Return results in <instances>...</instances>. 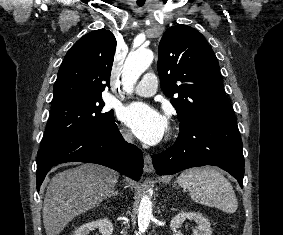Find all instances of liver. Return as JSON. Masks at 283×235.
<instances>
[{
  "label": "liver",
  "instance_id": "liver-1",
  "mask_svg": "<svg viewBox=\"0 0 283 235\" xmlns=\"http://www.w3.org/2000/svg\"><path fill=\"white\" fill-rule=\"evenodd\" d=\"M114 170L92 163L59 172L50 181L42 210L47 235H59L76 216L100 204L114 190Z\"/></svg>",
  "mask_w": 283,
  "mask_h": 235
}]
</instances>
